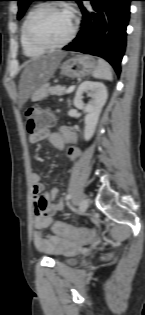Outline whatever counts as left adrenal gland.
<instances>
[{
    "label": "left adrenal gland",
    "mask_w": 145,
    "mask_h": 315,
    "mask_svg": "<svg viewBox=\"0 0 145 315\" xmlns=\"http://www.w3.org/2000/svg\"><path fill=\"white\" fill-rule=\"evenodd\" d=\"M68 103H69V105H70V100H68Z\"/></svg>",
    "instance_id": "a2214340"
}]
</instances>
